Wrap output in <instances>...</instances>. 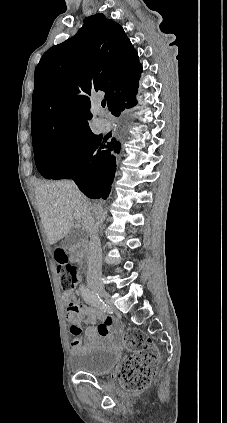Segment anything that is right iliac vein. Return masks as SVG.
<instances>
[{
  "mask_svg": "<svg viewBox=\"0 0 227 423\" xmlns=\"http://www.w3.org/2000/svg\"><path fill=\"white\" fill-rule=\"evenodd\" d=\"M93 291L98 293L100 296H102L104 299L109 300L110 295L103 287H96L93 288Z\"/></svg>",
  "mask_w": 227,
  "mask_h": 423,
  "instance_id": "obj_1",
  "label": "right iliac vein"
}]
</instances>
